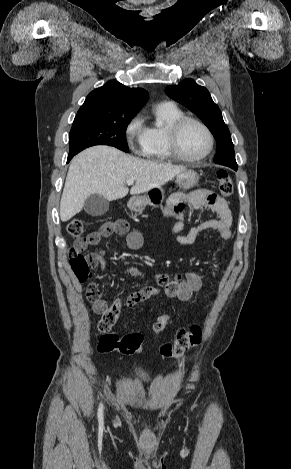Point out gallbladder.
I'll return each mask as SVG.
<instances>
[{
	"label": "gallbladder",
	"instance_id": "obj_1",
	"mask_svg": "<svg viewBox=\"0 0 291 469\" xmlns=\"http://www.w3.org/2000/svg\"><path fill=\"white\" fill-rule=\"evenodd\" d=\"M83 208L91 216H102L109 210V201L100 194H92L86 198Z\"/></svg>",
	"mask_w": 291,
	"mask_h": 469
}]
</instances>
